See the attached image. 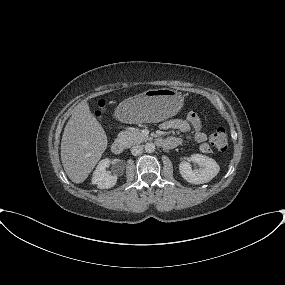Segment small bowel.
Here are the masks:
<instances>
[{
	"instance_id": "c3829d8e",
	"label": "small bowel",
	"mask_w": 285,
	"mask_h": 285,
	"mask_svg": "<svg viewBox=\"0 0 285 285\" xmlns=\"http://www.w3.org/2000/svg\"><path fill=\"white\" fill-rule=\"evenodd\" d=\"M163 130H179L182 133H193V139L198 143H204L207 140L206 133L202 130V124L199 116L195 112H190L186 119H171L161 124ZM182 143L179 137L171 136L163 141L167 148H174Z\"/></svg>"
}]
</instances>
